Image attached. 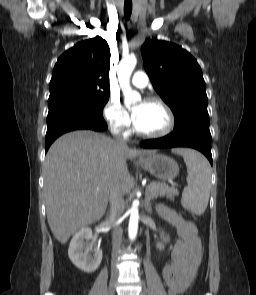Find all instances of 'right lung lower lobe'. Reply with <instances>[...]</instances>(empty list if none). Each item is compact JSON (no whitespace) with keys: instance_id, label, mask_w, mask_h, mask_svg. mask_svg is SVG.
<instances>
[{"instance_id":"98d812e1","label":"right lung lower lobe","mask_w":256,"mask_h":295,"mask_svg":"<svg viewBox=\"0 0 256 295\" xmlns=\"http://www.w3.org/2000/svg\"><path fill=\"white\" fill-rule=\"evenodd\" d=\"M78 129L104 131L107 129L102 116H70L58 115L47 119V133L45 137V151L60 135Z\"/></svg>"}]
</instances>
